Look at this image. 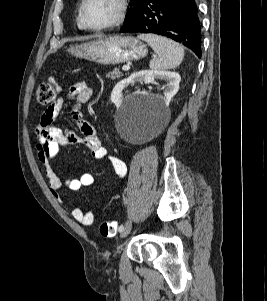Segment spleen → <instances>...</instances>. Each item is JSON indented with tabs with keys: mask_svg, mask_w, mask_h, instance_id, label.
<instances>
[{
	"mask_svg": "<svg viewBox=\"0 0 267 301\" xmlns=\"http://www.w3.org/2000/svg\"><path fill=\"white\" fill-rule=\"evenodd\" d=\"M138 38L147 42L158 55L150 61L152 70L174 69L184 58V49L171 39L153 34H141Z\"/></svg>",
	"mask_w": 267,
	"mask_h": 301,
	"instance_id": "1",
	"label": "spleen"
}]
</instances>
